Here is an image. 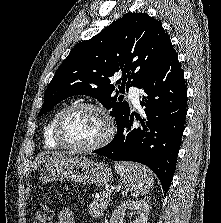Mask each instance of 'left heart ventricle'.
I'll list each match as a JSON object with an SVG mask.
<instances>
[{
    "label": "left heart ventricle",
    "mask_w": 221,
    "mask_h": 223,
    "mask_svg": "<svg viewBox=\"0 0 221 223\" xmlns=\"http://www.w3.org/2000/svg\"><path fill=\"white\" fill-rule=\"evenodd\" d=\"M107 130L105 118L90 109L69 113L62 124V136L70 144L87 146L97 142Z\"/></svg>",
    "instance_id": "obj_1"
}]
</instances>
